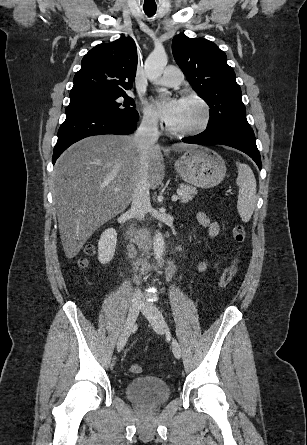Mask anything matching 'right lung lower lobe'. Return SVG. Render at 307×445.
Segmentation results:
<instances>
[{
    "mask_svg": "<svg viewBox=\"0 0 307 445\" xmlns=\"http://www.w3.org/2000/svg\"><path fill=\"white\" fill-rule=\"evenodd\" d=\"M139 117L130 118L106 112H80L66 115L58 131L52 162L73 143L92 135L130 134L136 130Z\"/></svg>",
    "mask_w": 307,
    "mask_h": 445,
    "instance_id": "obj_1",
    "label": "right lung lower lobe"
}]
</instances>
